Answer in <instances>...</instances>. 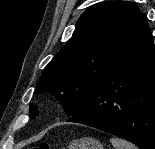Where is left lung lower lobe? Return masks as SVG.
Here are the masks:
<instances>
[{"label": "left lung lower lobe", "instance_id": "0a47b994", "mask_svg": "<svg viewBox=\"0 0 155 149\" xmlns=\"http://www.w3.org/2000/svg\"><path fill=\"white\" fill-rule=\"evenodd\" d=\"M155 149V47L144 15L85 104L68 119Z\"/></svg>", "mask_w": 155, "mask_h": 149}]
</instances>
